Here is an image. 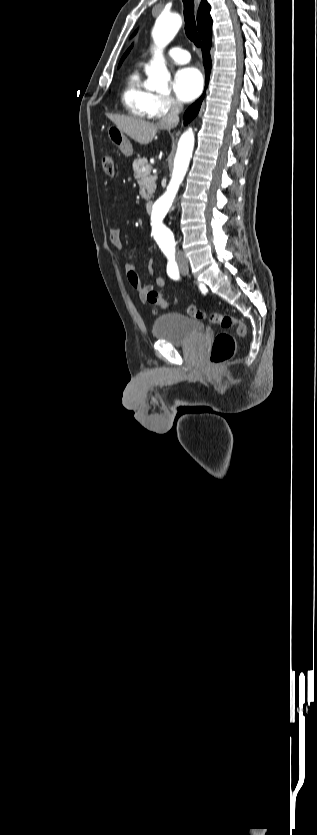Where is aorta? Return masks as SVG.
<instances>
[{"instance_id":"aorta-1","label":"aorta","mask_w":317,"mask_h":835,"mask_svg":"<svg viewBox=\"0 0 317 835\" xmlns=\"http://www.w3.org/2000/svg\"><path fill=\"white\" fill-rule=\"evenodd\" d=\"M181 17L177 12L168 14L161 13L155 21L152 29L154 42V57L150 65L146 67L147 80L144 86L149 90L165 92L171 75L166 67L163 57V49L174 39L181 27ZM194 147V132L189 128L179 139L177 152L174 158L173 173L167 191L160 197L152 212L154 224V235L156 238H166L170 243L174 242L173 234L167 227L165 217L172 205L175 195L185 177Z\"/></svg>"}]
</instances>
